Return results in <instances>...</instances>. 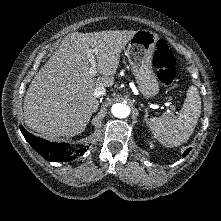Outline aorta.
<instances>
[{
    "instance_id": "obj_1",
    "label": "aorta",
    "mask_w": 221,
    "mask_h": 221,
    "mask_svg": "<svg viewBox=\"0 0 221 221\" xmlns=\"http://www.w3.org/2000/svg\"><path fill=\"white\" fill-rule=\"evenodd\" d=\"M111 111L117 118H126L130 114V107L123 103H115L112 105Z\"/></svg>"
}]
</instances>
